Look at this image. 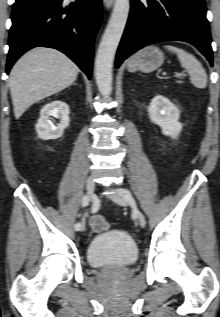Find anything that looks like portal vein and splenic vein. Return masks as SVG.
<instances>
[{
	"label": "portal vein and splenic vein",
	"mask_w": 220,
	"mask_h": 317,
	"mask_svg": "<svg viewBox=\"0 0 220 317\" xmlns=\"http://www.w3.org/2000/svg\"><path fill=\"white\" fill-rule=\"evenodd\" d=\"M183 74H180V73H175V77L177 78H182Z\"/></svg>",
	"instance_id": "obj_1"
}]
</instances>
